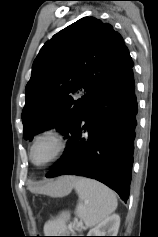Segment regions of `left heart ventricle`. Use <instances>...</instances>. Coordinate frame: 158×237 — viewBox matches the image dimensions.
I'll return each mask as SVG.
<instances>
[{"mask_svg": "<svg viewBox=\"0 0 158 237\" xmlns=\"http://www.w3.org/2000/svg\"><path fill=\"white\" fill-rule=\"evenodd\" d=\"M57 144L51 138H44L40 140L33 151V159L36 163H43L47 161L56 151Z\"/></svg>", "mask_w": 158, "mask_h": 237, "instance_id": "left-heart-ventricle-1", "label": "left heart ventricle"}]
</instances>
